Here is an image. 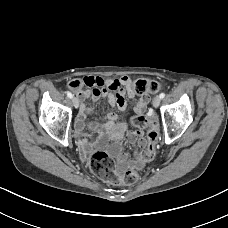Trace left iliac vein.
Returning <instances> with one entry per match:
<instances>
[{
    "label": "left iliac vein",
    "instance_id": "obj_1",
    "mask_svg": "<svg viewBox=\"0 0 228 228\" xmlns=\"http://www.w3.org/2000/svg\"><path fill=\"white\" fill-rule=\"evenodd\" d=\"M160 102H161L160 97H159V96H156V97L153 99V102H152L153 107H154V108H158L159 105H160Z\"/></svg>",
    "mask_w": 228,
    "mask_h": 228
}]
</instances>
